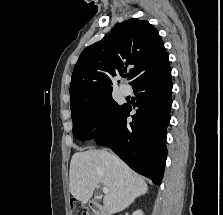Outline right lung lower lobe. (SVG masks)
Wrapping results in <instances>:
<instances>
[{
    "label": "right lung lower lobe",
    "instance_id": "98d812e1",
    "mask_svg": "<svg viewBox=\"0 0 223 215\" xmlns=\"http://www.w3.org/2000/svg\"><path fill=\"white\" fill-rule=\"evenodd\" d=\"M133 89L137 93L133 106L138 107L133 121L127 123L132 106L126 104L116 127L97 144L110 147L133 170L160 185L167 157L166 127L172 105L171 68L158 77L136 83Z\"/></svg>",
    "mask_w": 223,
    "mask_h": 215
}]
</instances>
